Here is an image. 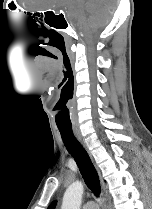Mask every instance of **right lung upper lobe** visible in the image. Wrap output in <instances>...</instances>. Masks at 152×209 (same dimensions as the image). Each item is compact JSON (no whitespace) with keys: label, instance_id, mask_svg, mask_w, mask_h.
<instances>
[{"label":"right lung upper lobe","instance_id":"obj_1","mask_svg":"<svg viewBox=\"0 0 152 209\" xmlns=\"http://www.w3.org/2000/svg\"><path fill=\"white\" fill-rule=\"evenodd\" d=\"M56 206V201L50 204V206L47 209H54Z\"/></svg>","mask_w":152,"mask_h":209}]
</instances>
